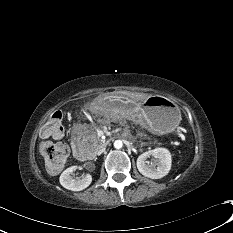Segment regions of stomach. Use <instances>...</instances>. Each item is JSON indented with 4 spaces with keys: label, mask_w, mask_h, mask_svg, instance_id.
Returning <instances> with one entry per match:
<instances>
[{
    "label": "stomach",
    "mask_w": 233,
    "mask_h": 233,
    "mask_svg": "<svg viewBox=\"0 0 233 233\" xmlns=\"http://www.w3.org/2000/svg\"><path fill=\"white\" fill-rule=\"evenodd\" d=\"M107 113L118 112L130 116L134 121L146 126L157 134L171 133L178 126L181 115L178 106L166 97L154 95L145 99L142 96L117 98L107 96L100 100Z\"/></svg>",
    "instance_id": "stomach-1"
}]
</instances>
